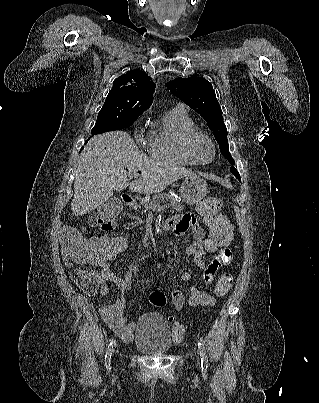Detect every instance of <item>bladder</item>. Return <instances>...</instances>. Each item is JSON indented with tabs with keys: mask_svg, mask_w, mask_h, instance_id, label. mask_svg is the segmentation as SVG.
<instances>
[{
	"mask_svg": "<svg viewBox=\"0 0 319 403\" xmlns=\"http://www.w3.org/2000/svg\"><path fill=\"white\" fill-rule=\"evenodd\" d=\"M132 345L146 355H163L170 351L171 331L165 316L146 312L136 322V333Z\"/></svg>",
	"mask_w": 319,
	"mask_h": 403,
	"instance_id": "obj_1",
	"label": "bladder"
}]
</instances>
